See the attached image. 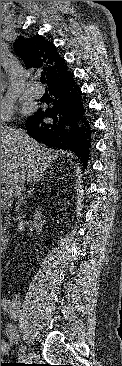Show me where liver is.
<instances>
[{
  "label": "liver",
  "mask_w": 122,
  "mask_h": 366,
  "mask_svg": "<svg viewBox=\"0 0 122 366\" xmlns=\"http://www.w3.org/2000/svg\"><path fill=\"white\" fill-rule=\"evenodd\" d=\"M61 154L38 143L23 130L1 126V184L16 196L23 179L28 182L43 176Z\"/></svg>",
  "instance_id": "6515ba94"
}]
</instances>
